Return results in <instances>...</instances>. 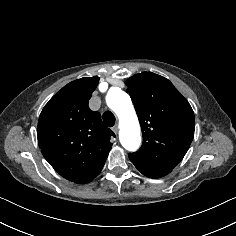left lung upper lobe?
I'll list each match as a JSON object with an SVG mask.
<instances>
[{"mask_svg": "<svg viewBox=\"0 0 236 236\" xmlns=\"http://www.w3.org/2000/svg\"><path fill=\"white\" fill-rule=\"evenodd\" d=\"M141 125L143 144L130 153L134 165L172 170L194 137L195 121L188 101L163 76L142 72L126 80Z\"/></svg>", "mask_w": 236, "mask_h": 236, "instance_id": "obj_1", "label": "left lung upper lobe"}]
</instances>
